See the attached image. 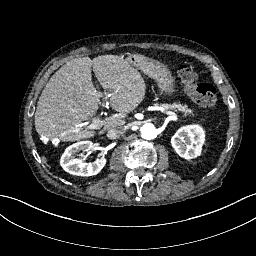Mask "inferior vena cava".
<instances>
[{"label": "inferior vena cava", "instance_id": "1", "mask_svg": "<svg viewBox=\"0 0 256 256\" xmlns=\"http://www.w3.org/2000/svg\"><path fill=\"white\" fill-rule=\"evenodd\" d=\"M125 133H126V129H124L123 127H115V128L109 129L106 135L109 139L114 140V139L120 138Z\"/></svg>", "mask_w": 256, "mask_h": 256}]
</instances>
